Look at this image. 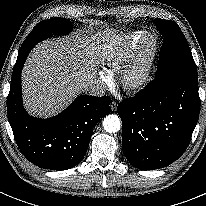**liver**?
<instances>
[{
  "instance_id": "obj_1",
  "label": "liver",
  "mask_w": 206,
  "mask_h": 206,
  "mask_svg": "<svg viewBox=\"0 0 206 206\" xmlns=\"http://www.w3.org/2000/svg\"><path fill=\"white\" fill-rule=\"evenodd\" d=\"M118 41L109 34L93 36L80 31L37 44L22 71L27 111L39 117L61 111L95 81L98 59L112 56Z\"/></svg>"
}]
</instances>
